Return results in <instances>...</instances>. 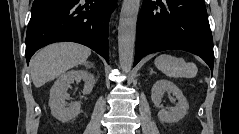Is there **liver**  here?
I'll return each instance as SVG.
<instances>
[{
  "label": "liver",
  "mask_w": 239,
  "mask_h": 134,
  "mask_svg": "<svg viewBox=\"0 0 239 134\" xmlns=\"http://www.w3.org/2000/svg\"><path fill=\"white\" fill-rule=\"evenodd\" d=\"M91 50L72 42L51 44L37 52L30 62L31 78L35 87L57 78L67 70L83 64Z\"/></svg>",
  "instance_id": "1"
}]
</instances>
